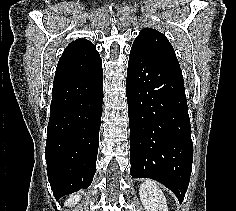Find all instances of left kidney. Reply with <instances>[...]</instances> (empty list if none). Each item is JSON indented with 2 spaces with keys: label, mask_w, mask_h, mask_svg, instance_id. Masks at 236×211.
Wrapping results in <instances>:
<instances>
[{
  "label": "left kidney",
  "mask_w": 236,
  "mask_h": 211,
  "mask_svg": "<svg viewBox=\"0 0 236 211\" xmlns=\"http://www.w3.org/2000/svg\"><path fill=\"white\" fill-rule=\"evenodd\" d=\"M139 194L146 211H168L166 198L155 182L146 180L140 185Z\"/></svg>",
  "instance_id": "5707ae66"
}]
</instances>
